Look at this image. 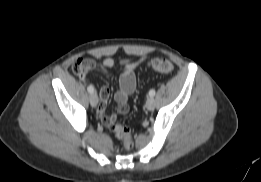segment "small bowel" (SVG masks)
<instances>
[{
    "label": "small bowel",
    "mask_w": 261,
    "mask_h": 182,
    "mask_svg": "<svg viewBox=\"0 0 261 182\" xmlns=\"http://www.w3.org/2000/svg\"><path fill=\"white\" fill-rule=\"evenodd\" d=\"M148 55H142L138 60H122L121 75L119 79V88L115 92L114 99L118 104L117 112L119 114H125L128 111L127 101L129 96L134 92L136 87V79L134 71L140 67L147 59ZM89 69H96L102 73H107L109 70L116 66V63L111 58H106L100 62H96L93 59H85ZM85 80V78H83ZM110 88L103 86L100 89L99 105L97 109V117L105 125L110 124L111 121L115 120V114L107 115L106 106L110 97Z\"/></svg>",
    "instance_id": "small-bowel-1"
}]
</instances>
